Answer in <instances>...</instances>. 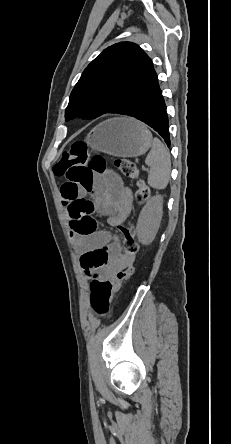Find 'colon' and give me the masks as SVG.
Instances as JSON below:
<instances>
[{
    "label": "colon",
    "instance_id": "5ec220e1",
    "mask_svg": "<svg viewBox=\"0 0 231 444\" xmlns=\"http://www.w3.org/2000/svg\"><path fill=\"white\" fill-rule=\"evenodd\" d=\"M114 164L125 177L136 180V201L139 204L145 202L150 196V189L140 178L135 163L120 157L115 159ZM53 170L57 177L67 179V183L74 188H90L94 176L104 172L105 161L100 155L90 157L87 145L79 141L63 154ZM92 212L93 204L88 200H77L71 204L70 214L74 219L73 228L77 234L88 236L96 231V220L92 217ZM119 229L123 237L124 256L128 259L126 265L108 278L94 279L90 286L92 307L101 316L109 314L115 293L135 270V259L139 250L135 229L132 225H120Z\"/></svg>",
    "mask_w": 231,
    "mask_h": 444
}]
</instances>
